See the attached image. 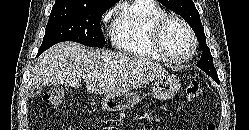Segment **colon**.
<instances>
[{"label": "colon", "instance_id": "1", "mask_svg": "<svg viewBox=\"0 0 249 130\" xmlns=\"http://www.w3.org/2000/svg\"><path fill=\"white\" fill-rule=\"evenodd\" d=\"M186 95L187 98L192 101L205 99L207 97V92L198 81H191L186 87ZM44 101L54 108H61L65 102V90L61 87L49 90L44 95ZM206 129L215 130V125L212 122H209Z\"/></svg>", "mask_w": 249, "mask_h": 130}]
</instances>
